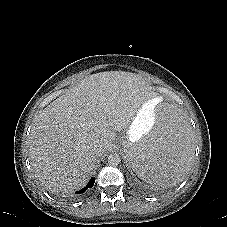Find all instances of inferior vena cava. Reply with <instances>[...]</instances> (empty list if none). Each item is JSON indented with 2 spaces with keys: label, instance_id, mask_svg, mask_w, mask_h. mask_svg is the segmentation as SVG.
Here are the masks:
<instances>
[{
  "label": "inferior vena cava",
  "instance_id": "inferior-vena-cava-1",
  "mask_svg": "<svg viewBox=\"0 0 227 227\" xmlns=\"http://www.w3.org/2000/svg\"><path fill=\"white\" fill-rule=\"evenodd\" d=\"M104 145H105L104 143L96 144V145H95V150H96V151L101 150V149L104 147Z\"/></svg>",
  "mask_w": 227,
  "mask_h": 227
}]
</instances>
